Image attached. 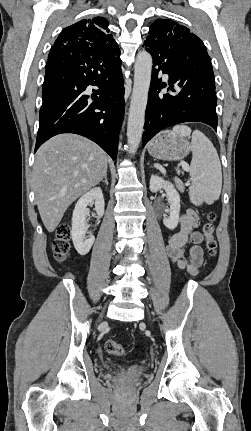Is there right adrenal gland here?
<instances>
[{
	"label": "right adrenal gland",
	"mask_w": 251,
	"mask_h": 431,
	"mask_svg": "<svg viewBox=\"0 0 251 431\" xmlns=\"http://www.w3.org/2000/svg\"><path fill=\"white\" fill-rule=\"evenodd\" d=\"M102 182H104L108 186L107 174L104 176V180Z\"/></svg>",
	"instance_id": "1"
}]
</instances>
